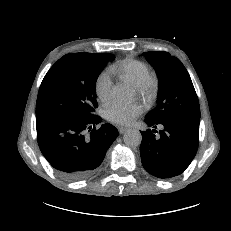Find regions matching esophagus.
I'll use <instances>...</instances> for the list:
<instances>
[{
	"label": "esophagus",
	"instance_id": "1",
	"mask_svg": "<svg viewBox=\"0 0 231 231\" xmlns=\"http://www.w3.org/2000/svg\"><path fill=\"white\" fill-rule=\"evenodd\" d=\"M127 130H128L127 127H119L118 128V131H119L120 134H124Z\"/></svg>",
	"mask_w": 231,
	"mask_h": 231
}]
</instances>
